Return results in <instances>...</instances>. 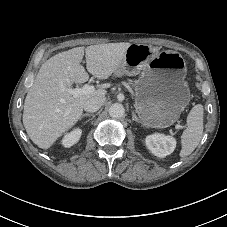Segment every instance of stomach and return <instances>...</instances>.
Wrapping results in <instances>:
<instances>
[{
  "instance_id": "stomach-1",
  "label": "stomach",
  "mask_w": 227,
  "mask_h": 227,
  "mask_svg": "<svg viewBox=\"0 0 227 227\" xmlns=\"http://www.w3.org/2000/svg\"><path fill=\"white\" fill-rule=\"evenodd\" d=\"M186 72V63L178 52H159L150 45L131 44L114 75L141 73L135 82L139 120L148 128H166L179 119L190 101Z\"/></svg>"
}]
</instances>
